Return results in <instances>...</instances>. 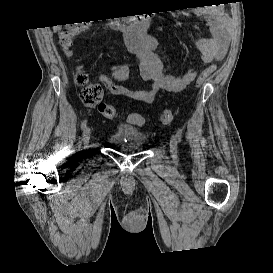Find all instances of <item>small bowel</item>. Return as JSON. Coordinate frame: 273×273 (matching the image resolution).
I'll list each match as a JSON object with an SVG mask.
<instances>
[{
    "mask_svg": "<svg viewBox=\"0 0 273 273\" xmlns=\"http://www.w3.org/2000/svg\"><path fill=\"white\" fill-rule=\"evenodd\" d=\"M192 14L205 19L211 30L210 37H200L196 42L200 61L205 63L221 61L227 52L230 41L231 18L221 6L203 7L193 10ZM158 45L159 40L156 37L141 39L138 33L130 32L127 38V47L140 59L141 77L144 81L151 82V85L143 90L126 88L121 85V82L127 78L128 68L126 66H110V76H99V81L106 87L107 93L149 104L160 90L180 92L194 81L197 75L194 63L183 75H176L172 69L165 66L162 57L155 52Z\"/></svg>",
    "mask_w": 273,
    "mask_h": 273,
    "instance_id": "small-bowel-1",
    "label": "small bowel"
}]
</instances>
